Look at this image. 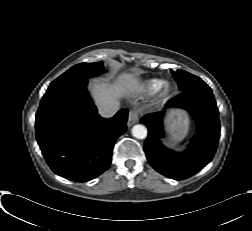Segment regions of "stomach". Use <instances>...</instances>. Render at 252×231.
I'll return each instance as SVG.
<instances>
[{
  "label": "stomach",
  "instance_id": "1",
  "mask_svg": "<svg viewBox=\"0 0 252 231\" xmlns=\"http://www.w3.org/2000/svg\"><path fill=\"white\" fill-rule=\"evenodd\" d=\"M166 124L171 134V141L176 143L186 136L189 128V118L183 111H172L166 118Z\"/></svg>",
  "mask_w": 252,
  "mask_h": 231
}]
</instances>
